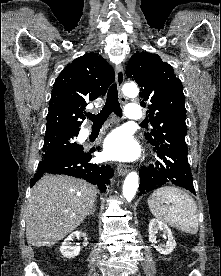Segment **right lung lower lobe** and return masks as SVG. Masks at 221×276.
<instances>
[{"label":"right lung lower lobe","instance_id":"1","mask_svg":"<svg viewBox=\"0 0 221 276\" xmlns=\"http://www.w3.org/2000/svg\"><path fill=\"white\" fill-rule=\"evenodd\" d=\"M99 149V147H97ZM95 148L89 151L80 150L69 154L55 156L48 159H42L38 165V172L31 179V187L45 173L65 174L85 179L86 181L97 185L101 192H105L107 185L110 183V178L113 177L114 171L110 165L90 163L92 152Z\"/></svg>","mask_w":221,"mask_h":276}]
</instances>
